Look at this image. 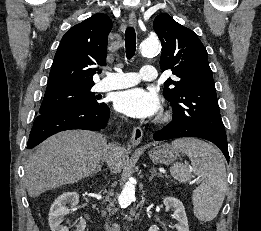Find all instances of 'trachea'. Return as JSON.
I'll list each match as a JSON object with an SVG mask.
<instances>
[{"mask_svg":"<svg viewBox=\"0 0 261 231\" xmlns=\"http://www.w3.org/2000/svg\"><path fill=\"white\" fill-rule=\"evenodd\" d=\"M126 57L130 60L136 51V33L133 27H128L125 31Z\"/></svg>","mask_w":261,"mask_h":231,"instance_id":"1","label":"trachea"}]
</instances>
